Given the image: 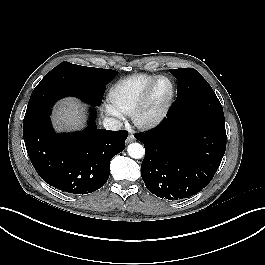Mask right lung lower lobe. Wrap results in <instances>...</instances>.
I'll use <instances>...</instances> for the list:
<instances>
[{"mask_svg": "<svg viewBox=\"0 0 265 265\" xmlns=\"http://www.w3.org/2000/svg\"><path fill=\"white\" fill-rule=\"evenodd\" d=\"M51 110L23 123V137L32 165L49 185L70 194H87L101 188L110 175V161L125 149L127 131L97 129L91 109L89 126L57 134Z\"/></svg>", "mask_w": 265, "mask_h": 265, "instance_id": "right-lung-lower-lobe-1", "label": "right lung lower lobe"}]
</instances>
